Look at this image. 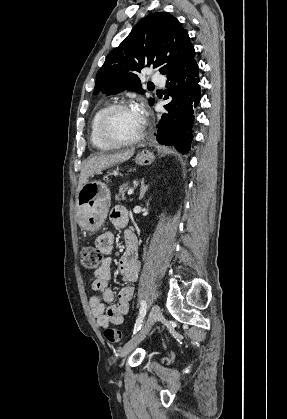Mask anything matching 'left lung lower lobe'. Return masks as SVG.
Wrapping results in <instances>:
<instances>
[{
  "label": "left lung lower lobe",
  "mask_w": 287,
  "mask_h": 419,
  "mask_svg": "<svg viewBox=\"0 0 287 419\" xmlns=\"http://www.w3.org/2000/svg\"><path fill=\"white\" fill-rule=\"evenodd\" d=\"M166 93L172 101L164 106L166 113L157 125L160 144L175 146L187 153L190 149L194 108L200 102L198 65L193 59L186 67L167 76Z\"/></svg>",
  "instance_id": "obj_1"
}]
</instances>
